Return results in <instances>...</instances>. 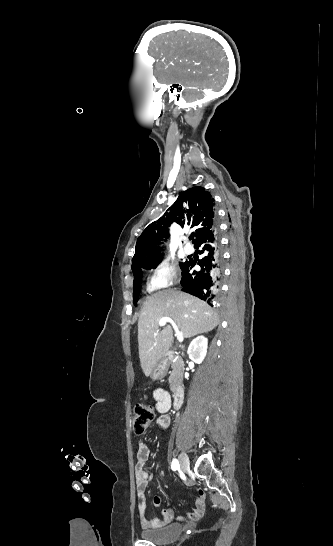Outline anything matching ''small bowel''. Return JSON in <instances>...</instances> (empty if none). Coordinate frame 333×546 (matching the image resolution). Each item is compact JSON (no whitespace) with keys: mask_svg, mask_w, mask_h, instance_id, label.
Returning <instances> with one entry per match:
<instances>
[{"mask_svg":"<svg viewBox=\"0 0 333 546\" xmlns=\"http://www.w3.org/2000/svg\"><path fill=\"white\" fill-rule=\"evenodd\" d=\"M153 398L155 400L156 411L159 414L156 422L160 428L166 429L169 426L170 418L167 415V411L171 407V397L169 393L162 389L157 388L153 392ZM150 456V450L144 443H139L137 451V463L135 466V480H136V498L138 503V515L140 524L145 529L161 528L169 524L174 517V511L172 509H165L162 511L161 518L149 519L146 516L145 511V492L153 478V475L146 468V463ZM162 497L156 495L154 497V504L160 505ZM205 511V494L202 490L197 491V497L195 501V507L189 513L188 517L191 520H197L202 517Z\"/></svg>","mask_w":333,"mask_h":546,"instance_id":"c3829d8e","label":"small bowel"}]
</instances>
